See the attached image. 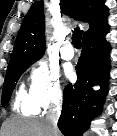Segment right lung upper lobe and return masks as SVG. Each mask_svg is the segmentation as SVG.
Returning <instances> with one entry per match:
<instances>
[{"mask_svg":"<svg viewBox=\"0 0 117 136\" xmlns=\"http://www.w3.org/2000/svg\"><path fill=\"white\" fill-rule=\"evenodd\" d=\"M104 2L105 0H60V7L63 13L89 23V29L83 34L84 39L108 26V8ZM45 47L43 4L35 2L23 19L9 65L41 58Z\"/></svg>","mask_w":117,"mask_h":136,"instance_id":"cb5924a9","label":"right lung upper lobe"}]
</instances>
